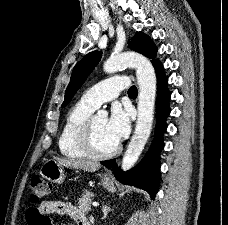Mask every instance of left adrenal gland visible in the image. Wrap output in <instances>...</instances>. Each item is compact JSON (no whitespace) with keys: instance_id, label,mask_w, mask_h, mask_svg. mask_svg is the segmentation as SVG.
Returning <instances> with one entry per match:
<instances>
[{"instance_id":"left-adrenal-gland-1","label":"left adrenal gland","mask_w":228,"mask_h":225,"mask_svg":"<svg viewBox=\"0 0 228 225\" xmlns=\"http://www.w3.org/2000/svg\"><path fill=\"white\" fill-rule=\"evenodd\" d=\"M109 211H113V209H110V207H107V205H103V207H102V213H103L102 219H106Z\"/></svg>"}]
</instances>
